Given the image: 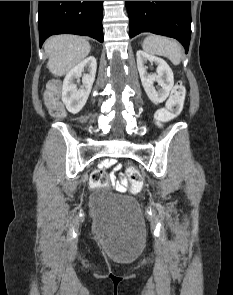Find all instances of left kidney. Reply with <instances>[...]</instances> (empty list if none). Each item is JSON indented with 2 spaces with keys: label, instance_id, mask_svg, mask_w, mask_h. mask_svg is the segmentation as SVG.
Returning a JSON list of instances; mask_svg holds the SVG:
<instances>
[{
  "label": "left kidney",
  "instance_id": "5707ae66",
  "mask_svg": "<svg viewBox=\"0 0 233 295\" xmlns=\"http://www.w3.org/2000/svg\"><path fill=\"white\" fill-rule=\"evenodd\" d=\"M136 57L141 82L148 98L154 104L164 102L174 85V76L171 68L162 58L150 55L142 50L137 51ZM147 61L157 65V74H149L146 71L145 63ZM155 82L160 86L159 90L155 89Z\"/></svg>",
  "mask_w": 233,
  "mask_h": 295
}]
</instances>
